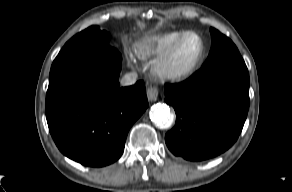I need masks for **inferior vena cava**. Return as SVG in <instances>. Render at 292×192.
<instances>
[{
	"instance_id": "602c4592",
	"label": "inferior vena cava",
	"mask_w": 292,
	"mask_h": 192,
	"mask_svg": "<svg viewBox=\"0 0 292 192\" xmlns=\"http://www.w3.org/2000/svg\"><path fill=\"white\" fill-rule=\"evenodd\" d=\"M137 73L136 72H130L126 73L120 80V83L122 86H130L136 83L137 81Z\"/></svg>"
}]
</instances>
